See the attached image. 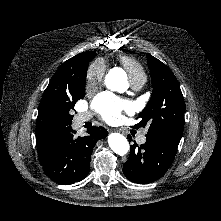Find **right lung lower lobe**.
Segmentation results:
<instances>
[{"instance_id": "right-lung-lower-lobe-1", "label": "right lung lower lobe", "mask_w": 221, "mask_h": 221, "mask_svg": "<svg viewBox=\"0 0 221 221\" xmlns=\"http://www.w3.org/2000/svg\"><path fill=\"white\" fill-rule=\"evenodd\" d=\"M75 133L71 126L60 130L42 163L45 174L58 184L68 185L83 180L89 173L96 142L108 135L101 126L89 128L85 137L76 138Z\"/></svg>"}]
</instances>
